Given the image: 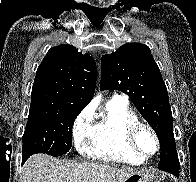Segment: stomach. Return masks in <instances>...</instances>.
Wrapping results in <instances>:
<instances>
[{"label": "stomach", "mask_w": 196, "mask_h": 182, "mask_svg": "<svg viewBox=\"0 0 196 182\" xmlns=\"http://www.w3.org/2000/svg\"><path fill=\"white\" fill-rule=\"evenodd\" d=\"M125 182H160L159 177L152 173L137 172L128 177Z\"/></svg>", "instance_id": "stomach-1"}]
</instances>
